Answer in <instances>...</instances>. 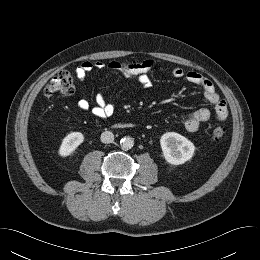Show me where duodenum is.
Wrapping results in <instances>:
<instances>
[{"instance_id": "410a0bca", "label": "duodenum", "mask_w": 260, "mask_h": 260, "mask_svg": "<svg viewBox=\"0 0 260 260\" xmlns=\"http://www.w3.org/2000/svg\"><path fill=\"white\" fill-rule=\"evenodd\" d=\"M116 127L120 129H135L137 125L134 123H125V124H118Z\"/></svg>"}]
</instances>
